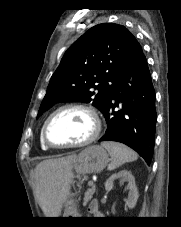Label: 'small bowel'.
Wrapping results in <instances>:
<instances>
[{"instance_id":"c3829d8e","label":"small bowel","mask_w":181,"mask_h":227,"mask_svg":"<svg viewBox=\"0 0 181 227\" xmlns=\"http://www.w3.org/2000/svg\"><path fill=\"white\" fill-rule=\"evenodd\" d=\"M88 210L91 214H98L99 213L98 204L95 201L91 202Z\"/></svg>"}]
</instances>
